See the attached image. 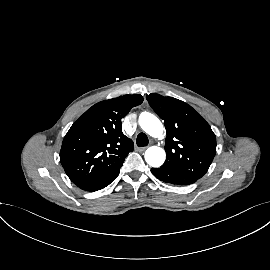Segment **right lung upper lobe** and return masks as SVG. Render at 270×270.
Masks as SVG:
<instances>
[{"label": "right lung upper lobe", "instance_id": "1", "mask_svg": "<svg viewBox=\"0 0 270 270\" xmlns=\"http://www.w3.org/2000/svg\"><path fill=\"white\" fill-rule=\"evenodd\" d=\"M143 102L141 95H124L101 101L87 110L64 137L61 164L74 184L110 175L134 149L122 133L121 119Z\"/></svg>", "mask_w": 270, "mask_h": 270}]
</instances>
